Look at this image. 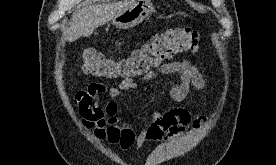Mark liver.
<instances>
[{
  "instance_id": "liver-1",
  "label": "liver",
  "mask_w": 276,
  "mask_h": 165,
  "mask_svg": "<svg viewBox=\"0 0 276 165\" xmlns=\"http://www.w3.org/2000/svg\"><path fill=\"white\" fill-rule=\"evenodd\" d=\"M135 0H124L115 3L93 4L73 13L69 27L65 31V39L74 42L80 37H89L94 30L134 5Z\"/></svg>"
}]
</instances>
